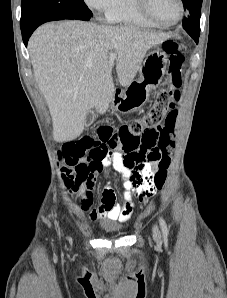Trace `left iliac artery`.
Segmentation results:
<instances>
[{"label":"left iliac artery","instance_id":"44dca946","mask_svg":"<svg viewBox=\"0 0 227 298\" xmlns=\"http://www.w3.org/2000/svg\"><path fill=\"white\" fill-rule=\"evenodd\" d=\"M159 222H160V226H161V229L163 231V234L165 236H167L168 235V228H167L165 220L162 217H160Z\"/></svg>","mask_w":227,"mask_h":298}]
</instances>
